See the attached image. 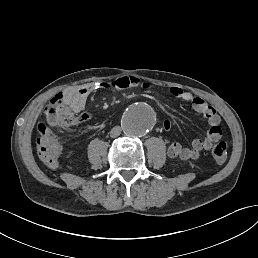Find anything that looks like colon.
Masks as SVG:
<instances>
[{"instance_id":"colon-1","label":"colon","mask_w":258,"mask_h":258,"mask_svg":"<svg viewBox=\"0 0 258 258\" xmlns=\"http://www.w3.org/2000/svg\"><path fill=\"white\" fill-rule=\"evenodd\" d=\"M85 121L83 114L76 115L68 110L61 109L57 112L56 123H40L38 125L39 137L37 139V150L39 157L45 163L55 165L61 153L59 136L57 130L72 129ZM215 162L219 165L225 163L227 159V145L218 142L211 149Z\"/></svg>"}]
</instances>
